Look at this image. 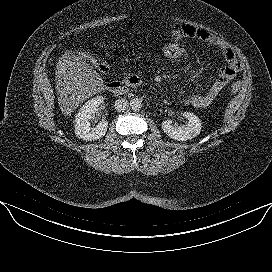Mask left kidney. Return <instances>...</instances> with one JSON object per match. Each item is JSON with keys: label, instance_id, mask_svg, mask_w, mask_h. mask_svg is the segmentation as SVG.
<instances>
[{"label": "left kidney", "instance_id": "left-kidney-1", "mask_svg": "<svg viewBox=\"0 0 272 272\" xmlns=\"http://www.w3.org/2000/svg\"><path fill=\"white\" fill-rule=\"evenodd\" d=\"M183 116L188 120L186 125H172V120L170 119L162 123L164 133L177 141L191 140L200 134L202 128L200 119L193 113L184 112Z\"/></svg>", "mask_w": 272, "mask_h": 272}]
</instances>
